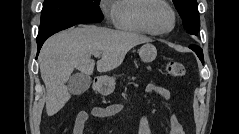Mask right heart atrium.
Here are the masks:
<instances>
[{"instance_id":"right-heart-atrium-1","label":"right heart atrium","mask_w":239,"mask_h":134,"mask_svg":"<svg viewBox=\"0 0 239 134\" xmlns=\"http://www.w3.org/2000/svg\"><path fill=\"white\" fill-rule=\"evenodd\" d=\"M101 10L107 20L112 21L114 19V9L106 3L101 5Z\"/></svg>"}]
</instances>
